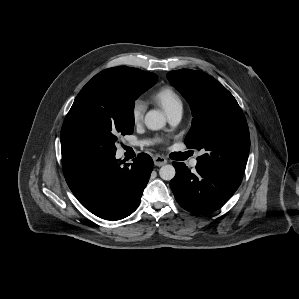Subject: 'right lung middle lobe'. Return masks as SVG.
<instances>
[{"mask_svg": "<svg viewBox=\"0 0 299 299\" xmlns=\"http://www.w3.org/2000/svg\"><path fill=\"white\" fill-rule=\"evenodd\" d=\"M150 85H133L119 73L100 72L79 92L61 130L62 152L111 156L119 135L134 128V101Z\"/></svg>", "mask_w": 299, "mask_h": 299, "instance_id": "right-lung-middle-lobe-1", "label": "right lung middle lobe"}]
</instances>
